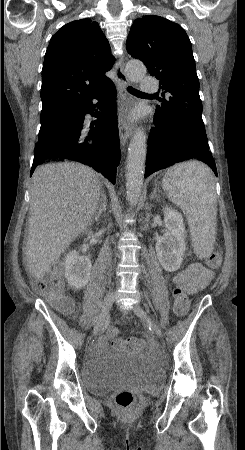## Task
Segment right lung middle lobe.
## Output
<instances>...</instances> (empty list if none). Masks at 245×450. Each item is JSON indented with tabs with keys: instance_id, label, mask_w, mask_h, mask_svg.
Masks as SVG:
<instances>
[{
	"instance_id": "obj_1",
	"label": "right lung middle lobe",
	"mask_w": 245,
	"mask_h": 450,
	"mask_svg": "<svg viewBox=\"0 0 245 450\" xmlns=\"http://www.w3.org/2000/svg\"><path fill=\"white\" fill-rule=\"evenodd\" d=\"M66 109H60V110H52V111H44L41 112V128L40 133H42L51 123V120L58 114L62 113Z\"/></svg>"
}]
</instances>
